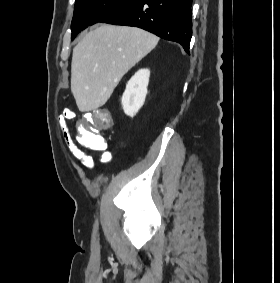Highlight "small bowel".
Wrapping results in <instances>:
<instances>
[{
	"label": "small bowel",
	"instance_id": "obj_1",
	"mask_svg": "<svg viewBox=\"0 0 280 283\" xmlns=\"http://www.w3.org/2000/svg\"><path fill=\"white\" fill-rule=\"evenodd\" d=\"M73 117H74V113L64 112L59 118V125L62 130L63 139L70 153L81 162V165L85 169L90 170L94 167L93 157L83 152L76 145L69 130V121H71ZM99 160L102 164H107L111 160V154L108 151L103 150L99 156Z\"/></svg>",
	"mask_w": 280,
	"mask_h": 283
}]
</instances>
